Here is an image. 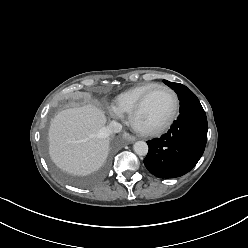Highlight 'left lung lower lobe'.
<instances>
[{
    "mask_svg": "<svg viewBox=\"0 0 248 248\" xmlns=\"http://www.w3.org/2000/svg\"><path fill=\"white\" fill-rule=\"evenodd\" d=\"M180 111L171 129L161 138L148 141L144 159L146 168L159 178H175L189 172L201 158L207 141L205 111L196 98H191Z\"/></svg>",
    "mask_w": 248,
    "mask_h": 248,
    "instance_id": "obj_1",
    "label": "left lung lower lobe"
}]
</instances>
